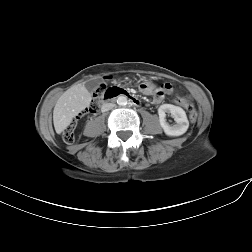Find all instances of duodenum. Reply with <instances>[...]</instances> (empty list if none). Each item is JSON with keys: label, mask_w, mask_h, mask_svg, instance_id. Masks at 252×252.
I'll return each instance as SVG.
<instances>
[{"label": "duodenum", "mask_w": 252, "mask_h": 252, "mask_svg": "<svg viewBox=\"0 0 252 252\" xmlns=\"http://www.w3.org/2000/svg\"><path fill=\"white\" fill-rule=\"evenodd\" d=\"M117 96H124V97H126L130 101V103L132 105H134V106H139L140 105V100L137 97H135L134 95L128 93L127 91H125L123 89H120L116 93L105 97L104 98V102L102 103V106L104 107L106 105V103H107L106 101L114 99Z\"/></svg>", "instance_id": "410a0bca"}]
</instances>
